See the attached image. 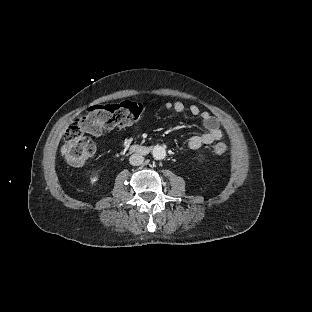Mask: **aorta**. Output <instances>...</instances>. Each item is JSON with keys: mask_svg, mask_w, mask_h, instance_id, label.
<instances>
[{"mask_svg": "<svg viewBox=\"0 0 312 312\" xmlns=\"http://www.w3.org/2000/svg\"><path fill=\"white\" fill-rule=\"evenodd\" d=\"M152 155L155 160H163L166 157V150L163 146L156 145L152 150Z\"/></svg>", "mask_w": 312, "mask_h": 312, "instance_id": "762f6f07", "label": "aorta"}]
</instances>
